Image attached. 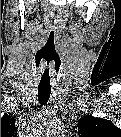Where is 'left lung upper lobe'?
<instances>
[{
    "instance_id": "1",
    "label": "left lung upper lobe",
    "mask_w": 121,
    "mask_h": 137,
    "mask_svg": "<svg viewBox=\"0 0 121 137\" xmlns=\"http://www.w3.org/2000/svg\"><path fill=\"white\" fill-rule=\"evenodd\" d=\"M78 131L84 137H113L118 135L121 137V131L111 121L93 117L92 115H86L80 118Z\"/></svg>"
}]
</instances>
